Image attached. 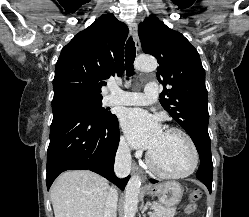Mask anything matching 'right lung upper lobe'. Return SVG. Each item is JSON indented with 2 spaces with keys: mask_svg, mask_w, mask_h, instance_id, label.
<instances>
[{
  "mask_svg": "<svg viewBox=\"0 0 249 217\" xmlns=\"http://www.w3.org/2000/svg\"><path fill=\"white\" fill-rule=\"evenodd\" d=\"M128 27L111 13L79 32L61 51L55 66L54 95L66 91L102 98L101 87L124 72Z\"/></svg>",
  "mask_w": 249,
  "mask_h": 217,
  "instance_id": "1",
  "label": "right lung upper lobe"
}]
</instances>
